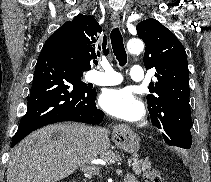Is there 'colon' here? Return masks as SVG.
I'll list each match as a JSON object with an SVG mask.
<instances>
[{
	"label": "colon",
	"instance_id": "1",
	"mask_svg": "<svg viewBox=\"0 0 211 182\" xmlns=\"http://www.w3.org/2000/svg\"><path fill=\"white\" fill-rule=\"evenodd\" d=\"M145 182H163L158 170L152 169L145 174Z\"/></svg>",
	"mask_w": 211,
	"mask_h": 182
}]
</instances>
